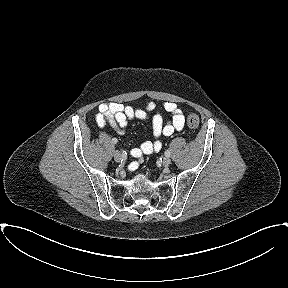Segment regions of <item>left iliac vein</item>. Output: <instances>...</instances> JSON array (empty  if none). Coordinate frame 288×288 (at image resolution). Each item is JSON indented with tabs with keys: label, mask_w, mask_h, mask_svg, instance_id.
<instances>
[{
	"label": "left iliac vein",
	"mask_w": 288,
	"mask_h": 288,
	"mask_svg": "<svg viewBox=\"0 0 288 288\" xmlns=\"http://www.w3.org/2000/svg\"><path fill=\"white\" fill-rule=\"evenodd\" d=\"M170 164H171V159H170V157H169V156H165V157L163 158V166H164V167H168Z\"/></svg>",
	"instance_id": "obj_1"
}]
</instances>
